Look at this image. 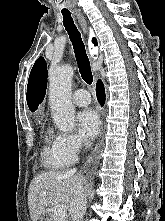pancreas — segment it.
I'll return each instance as SVG.
<instances>
[{"label":"pancreas","instance_id":"obj_1","mask_svg":"<svg viewBox=\"0 0 165 221\" xmlns=\"http://www.w3.org/2000/svg\"><path fill=\"white\" fill-rule=\"evenodd\" d=\"M50 221H68V218L66 217V218L61 219L57 215H53Z\"/></svg>","mask_w":165,"mask_h":221}]
</instances>
